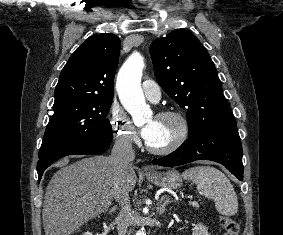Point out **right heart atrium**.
<instances>
[{
	"label": "right heart atrium",
	"mask_w": 283,
	"mask_h": 235,
	"mask_svg": "<svg viewBox=\"0 0 283 235\" xmlns=\"http://www.w3.org/2000/svg\"><path fill=\"white\" fill-rule=\"evenodd\" d=\"M110 124L115 138L125 144H134L138 140L136 127L129 120L125 112L113 105L109 113Z\"/></svg>",
	"instance_id": "d8ad5b80"
}]
</instances>
